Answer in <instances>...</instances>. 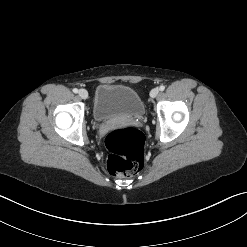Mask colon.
<instances>
[{
  "label": "colon",
  "instance_id": "1",
  "mask_svg": "<svg viewBox=\"0 0 247 247\" xmlns=\"http://www.w3.org/2000/svg\"><path fill=\"white\" fill-rule=\"evenodd\" d=\"M108 151L107 170L116 177L138 173L144 163V135L133 127L111 130L105 137Z\"/></svg>",
  "mask_w": 247,
  "mask_h": 247
}]
</instances>
